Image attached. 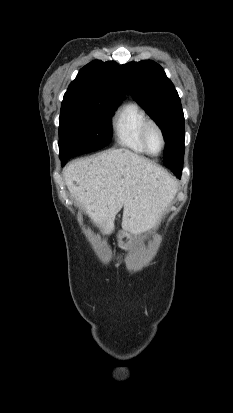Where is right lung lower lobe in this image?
I'll use <instances>...</instances> for the list:
<instances>
[{
  "instance_id": "98d812e1",
  "label": "right lung lower lobe",
  "mask_w": 233,
  "mask_h": 413,
  "mask_svg": "<svg viewBox=\"0 0 233 413\" xmlns=\"http://www.w3.org/2000/svg\"><path fill=\"white\" fill-rule=\"evenodd\" d=\"M60 159L62 161V165H64L69 158H60Z\"/></svg>"
}]
</instances>
